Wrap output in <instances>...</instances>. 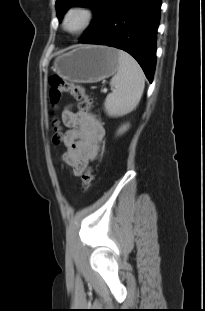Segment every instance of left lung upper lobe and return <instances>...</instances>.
Listing matches in <instances>:
<instances>
[{
	"label": "left lung upper lobe",
	"mask_w": 205,
	"mask_h": 311,
	"mask_svg": "<svg viewBox=\"0 0 205 311\" xmlns=\"http://www.w3.org/2000/svg\"><path fill=\"white\" fill-rule=\"evenodd\" d=\"M114 0H56L57 17L61 20L63 14L72 5H81L93 8L96 19L92 22L91 27L85 32L95 28L107 15Z\"/></svg>",
	"instance_id": "left-lung-upper-lobe-1"
}]
</instances>
